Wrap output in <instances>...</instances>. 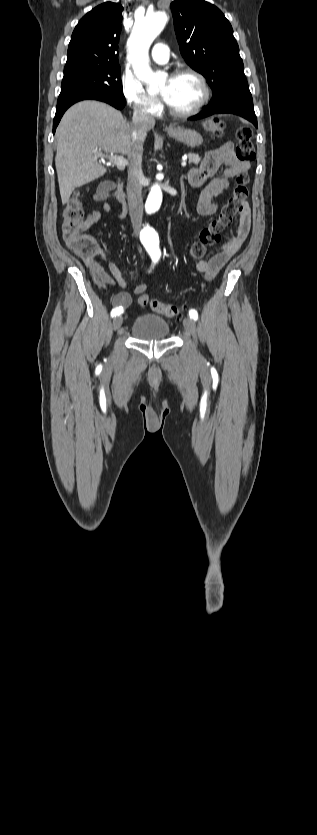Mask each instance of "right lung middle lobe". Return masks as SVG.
Here are the masks:
<instances>
[{
    "label": "right lung middle lobe",
    "mask_w": 317,
    "mask_h": 835,
    "mask_svg": "<svg viewBox=\"0 0 317 835\" xmlns=\"http://www.w3.org/2000/svg\"><path fill=\"white\" fill-rule=\"evenodd\" d=\"M120 75L118 64H66L57 104L105 92L124 96Z\"/></svg>",
    "instance_id": "obj_1"
}]
</instances>
